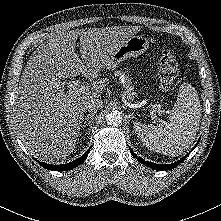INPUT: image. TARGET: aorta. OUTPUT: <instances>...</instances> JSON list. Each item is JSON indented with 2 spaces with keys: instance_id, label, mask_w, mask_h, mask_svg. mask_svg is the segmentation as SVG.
I'll use <instances>...</instances> for the list:
<instances>
[{
  "instance_id": "aorta-1",
  "label": "aorta",
  "mask_w": 221,
  "mask_h": 221,
  "mask_svg": "<svg viewBox=\"0 0 221 221\" xmlns=\"http://www.w3.org/2000/svg\"><path fill=\"white\" fill-rule=\"evenodd\" d=\"M106 121L108 125L117 127L122 123V115L119 111L113 110L107 114Z\"/></svg>"
}]
</instances>
